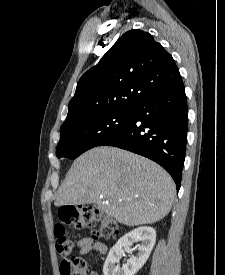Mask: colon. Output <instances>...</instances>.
<instances>
[{"label":"colon","instance_id":"colon-1","mask_svg":"<svg viewBox=\"0 0 225 275\" xmlns=\"http://www.w3.org/2000/svg\"><path fill=\"white\" fill-rule=\"evenodd\" d=\"M63 223L73 224L82 230L93 227L92 236H111L119 232L118 224L111 217L98 212L94 208L80 206L78 208H63L60 211ZM56 250L61 255H68L73 249V241L66 235L63 225L55 227ZM62 275H86V263L80 257L64 259L61 262Z\"/></svg>","mask_w":225,"mask_h":275}]
</instances>
